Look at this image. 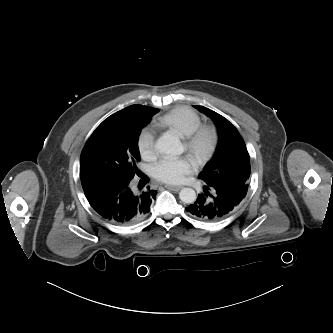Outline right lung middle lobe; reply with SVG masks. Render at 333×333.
I'll return each instance as SVG.
<instances>
[{"label":"right lung middle lobe","mask_w":333,"mask_h":333,"mask_svg":"<svg viewBox=\"0 0 333 333\" xmlns=\"http://www.w3.org/2000/svg\"><path fill=\"white\" fill-rule=\"evenodd\" d=\"M159 109L131 105L105 119L86 142L80 157V179H132L140 171L138 137Z\"/></svg>","instance_id":"obj_1"}]
</instances>
